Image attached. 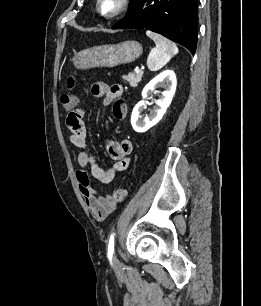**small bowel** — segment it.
Returning <instances> with one entry per match:
<instances>
[{"label":"small bowel","mask_w":261,"mask_h":306,"mask_svg":"<svg viewBox=\"0 0 261 306\" xmlns=\"http://www.w3.org/2000/svg\"><path fill=\"white\" fill-rule=\"evenodd\" d=\"M92 94L95 97H103L105 106L113 105L112 114L115 119L122 120L127 112L126 105L120 100L123 95L121 85H106L97 83L92 87ZM86 111L77 109L68 114L66 124L70 130V142L78 148L76 179L80 192L91 215L99 220H104L114 209L116 201L110 194L99 195L92 187L89 175L86 171L90 169L91 176L102 184L111 183L120 172L126 170L130 164L132 143L128 139L119 142L109 141L108 151L115 160L108 169L100 167L87 143V128L85 124Z\"/></svg>","instance_id":"c3829d8e"}]
</instances>
